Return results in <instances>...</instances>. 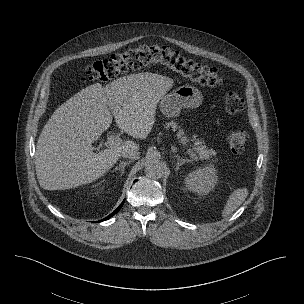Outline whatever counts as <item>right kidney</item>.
Returning a JSON list of instances; mask_svg holds the SVG:
<instances>
[{
  "instance_id": "1",
  "label": "right kidney",
  "mask_w": 304,
  "mask_h": 304,
  "mask_svg": "<svg viewBox=\"0 0 304 304\" xmlns=\"http://www.w3.org/2000/svg\"><path fill=\"white\" fill-rule=\"evenodd\" d=\"M95 187H96V189H103L104 186H101L100 184H97Z\"/></svg>"
}]
</instances>
